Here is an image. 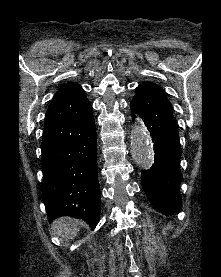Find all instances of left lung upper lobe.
I'll return each instance as SVG.
<instances>
[{"label":"left lung upper lobe","instance_id":"5c2ea615","mask_svg":"<svg viewBox=\"0 0 221 277\" xmlns=\"http://www.w3.org/2000/svg\"><path fill=\"white\" fill-rule=\"evenodd\" d=\"M142 86L153 92L163 104H165L166 106H168L169 109L172 110V106L166 97L165 91L161 87L150 82H145Z\"/></svg>","mask_w":221,"mask_h":277}]
</instances>
